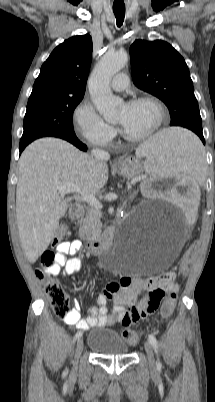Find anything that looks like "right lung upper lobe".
<instances>
[{
  "mask_svg": "<svg viewBox=\"0 0 215 402\" xmlns=\"http://www.w3.org/2000/svg\"><path fill=\"white\" fill-rule=\"evenodd\" d=\"M92 60L90 35L74 36L57 46L44 62L30 96L83 97Z\"/></svg>",
  "mask_w": 215,
  "mask_h": 402,
  "instance_id": "1",
  "label": "right lung upper lobe"
}]
</instances>
